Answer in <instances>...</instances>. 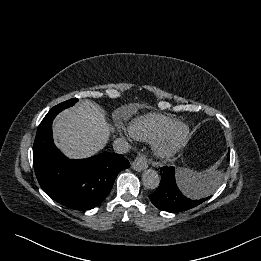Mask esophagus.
Here are the masks:
<instances>
[{
  "label": "esophagus",
  "instance_id": "34e87169",
  "mask_svg": "<svg viewBox=\"0 0 261 261\" xmlns=\"http://www.w3.org/2000/svg\"><path fill=\"white\" fill-rule=\"evenodd\" d=\"M148 167V160L145 155H138L132 163V168L138 172Z\"/></svg>",
  "mask_w": 261,
  "mask_h": 261
}]
</instances>
